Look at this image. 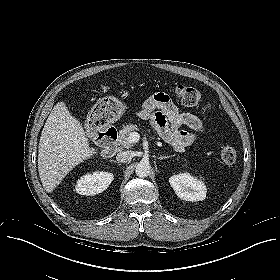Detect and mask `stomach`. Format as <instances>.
Returning a JSON list of instances; mask_svg holds the SVG:
<instances>
[{"label": "stomach", "mask_w": 280, "mask_h": 280, "mask_svg": "<svg viewBox=\"0 0 280 280\" xmlns=\"http://www.w3.org/2000/svg\"><path fill=\"white\" fill-rule=\"evenodd\" d=\"M94 110L97 111L107 124L116 122L122 117L126 110V105L115 97H104L98 101Z\"/></svg>", "instance_id": "0dacf381"}]
</instances>
